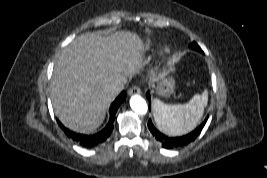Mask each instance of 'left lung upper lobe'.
I'll return each mask as SVG.
<instances>
[{
  "label": "left lung upper lobe",
  "mask_w": 267,
  "mask_h": 178,
  "mask_svg": "<svg viewBox=\"0 0 267 178\" xmlns=\"http://www.w3.org/2000/svg\"><path fill=\"white\" fill-rule=\"evenodd\" d=\"M190 48L191 49H194L196 51H199L201 53L203 52L202 49L195 42H193L192 44H190Z\"/></svg>",
  "instance_id": "1"
}]
</instances>
